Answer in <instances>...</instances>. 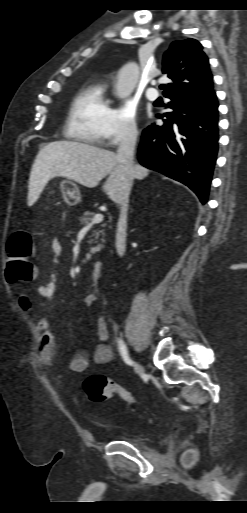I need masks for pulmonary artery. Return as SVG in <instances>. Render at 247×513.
Listing matches in <instances>:
<instances>
[{
  "mask_svg": "<svg viewBox=\"0 0 247 513\" xmlns=\"http://www.w3.org/2000/svg\"><path fill=\"white\" fill-rule=\"evenodd\" d=\"M146 96L151 101H155L159 97L158 92L155 88H149L146 91Z\"/></svg>",
  "mask_w": 247,
  "mask_h": 513,
  "instance_id": "e3ab8cb5",
  "label": "pulmonary artery"
}]
</instances>
